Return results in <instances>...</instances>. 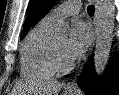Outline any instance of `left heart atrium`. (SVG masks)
Listing matches in <instances>:
<instances>
[{"mask_svg":"<svg viewBox=\"0 0 119 95\" xmlns=\"http://www.w3.org/2000/svg\"><path fill=\"white\" fill-rule=\"evenodd\" d=\"M90 40L91 30L88 24L80 20L74 21L65 46L67 56L71 60L80 57L85 52Z\"/></svg>","mask_w":119,"mask_h":95,"instance_id":"left-heart-atrium-1","label":"left heart atrium"}]
</instances>
